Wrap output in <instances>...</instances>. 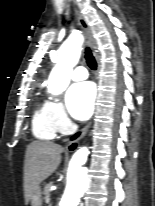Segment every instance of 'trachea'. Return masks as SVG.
<instances>
[{"mask_svg": "<svg viewBox=\"0 0 155 206\" xmlns=\"http://www.w3.org/2000/svg\"><path fill=\"white\" fill-rule=\"evenodd\" d=\"M85 59H86L88 66L92 70H96L97 63H96L95 58L93 57V55L91 53V50L88 47H86V49H85Z\"/></svg>", "mask_w": 155, "mask_h": 206, "instance_id": "1", "label": "trachea"}]
</instances>
